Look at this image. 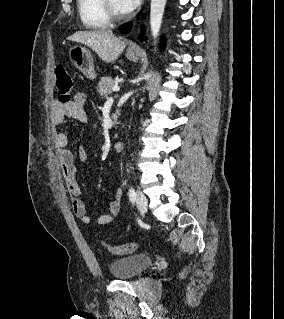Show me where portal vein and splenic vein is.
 <instances>
[{"label": "portal vein and splenic vein", "mask_w": 284, "mask_h": 319, "mask_svg": "<svg viewBox=\"0 0 284 319\" xmlns=\"http://www.w3.org/2000/svg\"><path fill=\"white\" fill-rule=\"evenodd\" d=\"M119 90H120V87H119V86L115 85V86L113 87V91L118 92ZM107 101H108V102H113V98H112V97H109V98H107Z\"/></svg>", "instance_id": "1"}]
</instances>
